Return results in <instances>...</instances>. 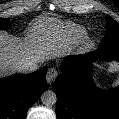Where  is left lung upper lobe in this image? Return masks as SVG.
I'll return each mask as SVG.
<instances>
[{"label":"left lung upper lobe","instance_id":"left-lung-upper-lobe-1","mask_svg":"<svg viewBox=\"0 0 119 119\" xmlns=\"http://www.w3.org/2000/svg\"><path fill=\"white\" fill-rule=\"evenodd\" d=\"M107 31L99 48L107 51L119 50V24L110 16H106Z\"/></svg>","mask_w":119,"mask_h":119}]
</instances>
